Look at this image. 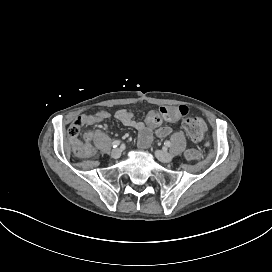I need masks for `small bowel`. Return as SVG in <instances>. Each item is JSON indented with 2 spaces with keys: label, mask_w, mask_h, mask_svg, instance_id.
Wrapping results in <instances>:
<instances>
[{
  "label": "small bowel",
  "mask_w": 272,
  "mask_h": 272,
  "mask_svg": "<svg viewBox=\"0 0 272 272\" xmlns=\"http://www.w3.org/2000/svg\"><path fill=\"white\" fill-rule=\"evenodd\" d=\"M157 115L161 117L168 123H175L179 120V115L174 107H161L159 113L157 112H150L146 118V121H139L134 118L132 112L119 109L115 112V118L120 121L123 125L135 129L138 132V143L141 147H146L150 142L152 129L158 126L159 124H154L152 121L149 120V117ZM111 114L105 110H98L94 113L90 114H81L75 118L74 121H81L84 125H97L105 121L106 119L110 118ZM172 133V128L168 125H163L157 128L156 135L159 138H165ZM92 135L90 133L85 134L86 143L82 144L78 138H72L69 136L70 141L73 145H89V141L91 140ZM91 147V146H90ZM188 156L191 159H194L198 156L195 150H190L188 152Z\"/></svg>",
  "instance_id": "c3829d8e"
}]
</instances>
